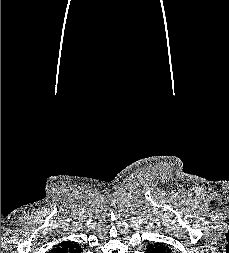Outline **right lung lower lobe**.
<instances>
[{
	"instance_id": "right-lung-lower-lobe-1",
	"label": "right lung lower lobe",
	"mask_w": 229,
	"mask_h": 253,
	"mask_svg": "<svg viewBox=\"0 0 229 253\" xmlns=\"http://www.w3.org/2000/svg\"><path fill=\"white\" fill-rule=\"evenodd\" d=\"M82 248L75 242L66 241L55 245L49 253H81Z\"/></svg>"
}]
</instances>
